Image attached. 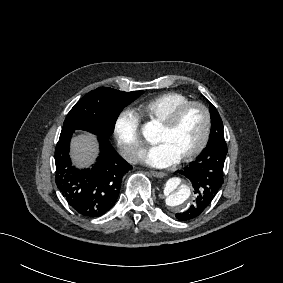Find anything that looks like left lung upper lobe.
Returning <instances> with one entry per match:
<instances>
[{
  "instance_id": "obj_1",
  "label": "left lung upper lobe",
  "mask_w": 283,
  "mask_h": 283,
  "mask_svg": "<svg viewBox=\"0 0 283 283\" xmlns=\"http://www.w3.org/2000/svg\"><path fill=\"white\" fill-rule=\"evenodd\" d=\"M209 111L212 120V129L209 141L224 140L223 123L218 111L213 104H209Z\"/></svg>"
}]
</instances>
